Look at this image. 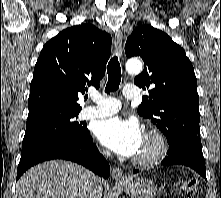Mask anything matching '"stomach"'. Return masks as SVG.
I'll use <instances>...</instances> for the list:
<instances>
[{"mask_svg": "<svg viewBox=\"0 0 221 198\" xmlns=\"http://www.w3.org/2000/svg\"><path fill=\"white\" fill-rule=\"evenodd\" d=\"M119 186L130 198H154L158 191L151 180L137 176L127 178Z\"/></svg>", "mask_w": 221, "mask_h": 198, "instance_id": "obj_1", "label": "stomach"}]
</instances>
